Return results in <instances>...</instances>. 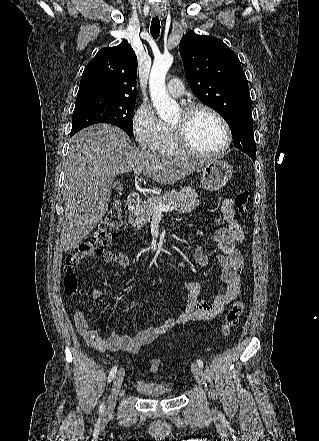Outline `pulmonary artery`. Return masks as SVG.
I'll list each match as a JSON object with an SVG mask.
<instances>
[{
  "label": "pulmonary artery",
  "mask_w": 319,
  "mask_h": 441,
  "mask_svg": "<svg viewBox=\"0 0 319 441\" xmlns=\"http://www.w3.org/2000/svg\"><path fill=\"white\" fill-rule=\"evenodd\" d=\"M168 94L174 98H182L184 94V86L180 79H171L167 84Z\"/></svg>",
  "instance_id": "e3ab8cb5"
}]
</instances>
